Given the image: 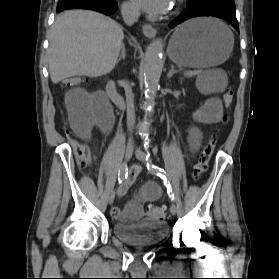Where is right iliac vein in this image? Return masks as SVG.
Returning a JSON list of instances; mask_svg holds the SVG:
<instances>
[{
	"label": "right iliac vein",
	"instance_id": "right-iliac-vein-1",
	"mask_svg": "<svg viewBox=\"0 0 279 279\" xmlns=\"http://www.w3.org/2000/svg\"><path fill=\"white\" fill-rule=\"evenodd\" d=\"M133 151H134V150H133L132 147H129V148L127 149L126 154H125V161H126V162L129 161V160L131 159V157H132V155H133ZM123 188H124V186L121 187L120 192H122ZM115 196H116V191H115V190H112L111 193H110V195H109V198H108V202H109L110 205L113 204L114 199H115Z\"/></svg>",
	"mask_w": 279,
	"mask_h": 279
}]
</instances>
